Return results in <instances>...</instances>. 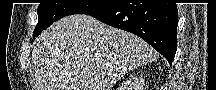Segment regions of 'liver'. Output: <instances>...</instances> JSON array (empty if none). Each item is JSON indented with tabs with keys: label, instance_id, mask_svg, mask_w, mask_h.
Segmentation results:
<instances>
[{
	"label": "liver",
	"instance_id": "1",
	"mask_svg": "<svg viewBox=\"0 0 216 90\" xmlns=\"http://www.w3.org/2000/svg\"><path fill=\"white\" fill-rule=\"evenodd\" d=\"M152 48L130 32L91 16H67L34 42L35 90H112L119 78L153 58Z\"/></svg>",
	"mask_w": 216,
	"mask_h": 90
}]
</instances>
